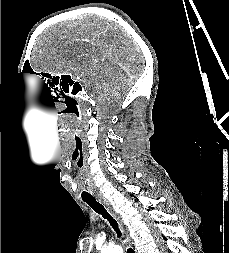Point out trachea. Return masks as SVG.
Returning a JSON list of instances; mask_svg holds the SVG:
<instances>
[{
  "instance_id": "obj_1",
  "label": "trachea",
  "mask_w": 229,
  "mask_h": 253,
  "mask_svg": "<svg viewBox=\"0 0 229 253\" xmlns=\"http://www.w3.org/2000/svg\"><path fill=\"white\" fill-rule=\"evenodd\" d=\"M82 200L84 202H86L95 212H97L98 214H101L105 219H107L110 223V225L112 226V228L116 231L117 236L121 237L122 233L118 228V223L115 219H113V217H111L109 215V213H107V211L105 210V208L103 207V205H101L100 203H98L96 201V199L92 196L90 197H82ZM127 253H135L134 250L132 248H128L127 249Z\"/></svg>"
}]
</instances>
